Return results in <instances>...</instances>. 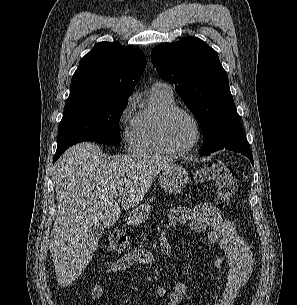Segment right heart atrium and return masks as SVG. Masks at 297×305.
Returning <instances> with one entry per match:
<instances>
[{"instance_id":"1","label":"right heart atrium","mask_w":297,"mask_h":305,"mask_svg":"<svg viewBox=\"0 0 297 305\" xmlns=\"http://www.w3.org/2000/svg\"><path fill=\"white\" fill-rule=\"evenodd\" d=\"M135 96L131 95L127 98L118 117V123L121 128V134L125 143H129L134 126L133 106Z\"/></svg>"}]
</instances>
